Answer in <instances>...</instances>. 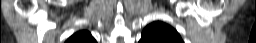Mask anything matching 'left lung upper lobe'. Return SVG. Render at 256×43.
I'll return each mask as SVG.
<instances>
[{"label": "left lung upper lobe", "instance_id": "obj_1", "mask_svg": "<svg viewBox=\"0 0 256 43\" xmlns=\"http://www.w3.org/2000/svg\"><path fill=\"white\" fill-rule=\"evenodd\" d=\"M139 43H183V41L175 29L157 21L143 30Z\"/></svg>", "mask_w": 256, "mask_h": 43}]
</instances>
